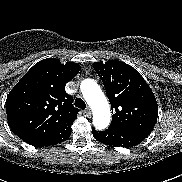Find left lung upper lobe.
I'll list each match as a JSON object with an SVG mask.
<instances>
[{"label": "left lung upper lobe", "mask_w": 182, "mask_h": 182, "mask_svg": "<svg viewBox=\"0 0 182 182\" xmlns=\"http://www.w3.org/2000/svg\"><path fill=\"white\" fill-rule=\"evenodd\" d=\"M93 67L111 104L113 116L109 127L148 136L157 121L158 105L144 78L133 67L117 60L94 62Z\"/></svg>", "instance_id": "1"}]
</instances>
